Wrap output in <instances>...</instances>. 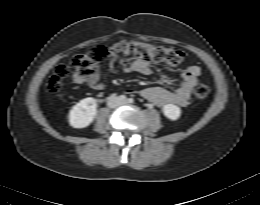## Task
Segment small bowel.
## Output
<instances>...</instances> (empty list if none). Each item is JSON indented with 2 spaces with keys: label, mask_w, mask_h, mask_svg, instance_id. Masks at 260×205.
I'll return each instance as SVG.
<instances>
[{
  "label": "small bowel",
  "mask_w": 260,
  "mask_h": 205,
  "mask_svg": "<svg viewBox=\"0 0 260 205\" xmlns=\"http://www.w3.org/2000/svg\"><path fill=\"white\" fill-rule=\"evenodd\" d=\"M108 68L111 72L119 71L129 73L136 72L143 75L152 73L151 66L148 61L136 59L131 63L120 62L115 53L110 52L107 56ZM201 75V68L197 65H189L181 74L180 82L175 90H169L161 86L148 87L140 90V95L152 101L159 107H164L169 104H176L181 107L188 105L192 95L194 86ZM77 84H86L94 90L101 91L104 89V84L100 81L99 70L92 76L87 78H75Z\"/></svg>",
  "instance_id": "obj_1"
}]
</instances>
